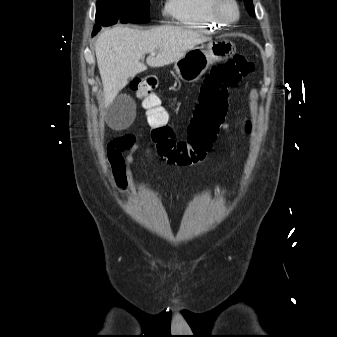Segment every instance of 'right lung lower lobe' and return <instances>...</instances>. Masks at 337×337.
Here are the masks:
<instances>
[{"label":"right lung lower lobe","mask_w":337,"mask_h":337,"mask_svg":"<svg viewBox=\"0 0 337 337\" xmlns=\"http://www.w3.org/2000/svg\"><path fill=\"white\" fill-rule=\"evenodd\" d=\"M100 29L101 27L94 28L93 35H95Z\"/></svg>","instance_id":"1"}]
</instances>
